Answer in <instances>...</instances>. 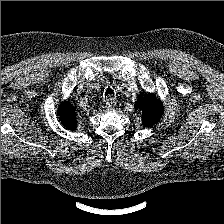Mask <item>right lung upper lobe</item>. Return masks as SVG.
I'll list each match as a JSON object with an SVG mask.
<instances>
[{
	"label": "right lung upper lobe",
	"instance_id": "1",
	"mask_svg": "<svg viewBox=\"0 0 224 224\" xmlns=\"http://www.w3.org/2000/svg\"><path fill=\"white\" fill-rule=\"evenodd\" d=\"M58 116L64 127L69 130L76 129V108L69 101H64L60 104L58 108Z\"/></svg>",
	"mask_w": 224,
	"mask_h": 224
}]
</instances>
